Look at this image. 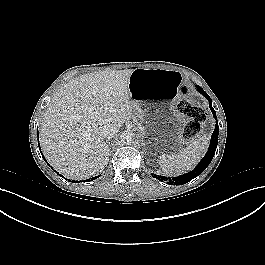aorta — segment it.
I'll use <instances>...</instances> for the list:
<instances>
[{
	"label": "aorta",
	"instance_id": "1",
	"mask_svg": "<svg viewBox=\"0 0 265 265\" xmlns=\"http://www.w3.org/2000/svg\"><path fill=\"white\" fill-rule=\"evenodd\" d=\"M134 137H135V135H134V133L131 132V131H124V132L121 134V136H120L121 141H122L123 143H125V144H130V143H132L133 140H134Z\"/></svg>",
	"mask_w": 265,
	"mask_h": 265
}]
</instances>
